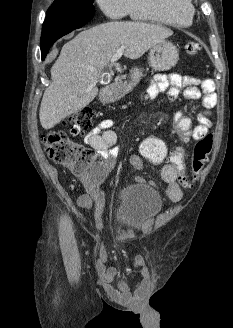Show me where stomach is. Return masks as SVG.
I'll use <instances>...</instances> for the list:
<instances>
[{
  "instance_id": "0dacf381",
  "label": "stomach",
  "mask_w": 233,
  "mask_h": 328,
  "mask_svg": "<svg viewBox=\"0 0 233 328\" xmlns=\"http://www.w3.org/2000/svg\"><path fill=\"white\" fill-rule=\"evenodd\" d=\"M179 60V52L175 45L171 42L163 40L160 43L151 47L148 61L149 65L157 71H167L174 67ZM141 71L134 68L131 71V81L121 89H119L113 96V99H119L127 94L139 81Z\"/></svg>"
}]
</instances>
